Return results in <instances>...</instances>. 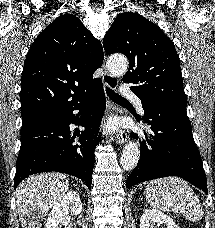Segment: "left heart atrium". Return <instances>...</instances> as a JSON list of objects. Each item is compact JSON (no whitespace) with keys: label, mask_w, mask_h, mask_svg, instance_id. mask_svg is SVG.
Here are the masks:
<instances>
[{"label":"left heart atrium","mask_w":215,"mask_h":228,"mask_svg":"<svg viewBox=\"0 0 215 228\" xmlns=\"http://www.w3.org/2000/svg\"><path fill=\"white\" fill-rule=\"evenodd\" d=\"M113 128H114V124L111 122L106 125V129H113Z\"/></svg>","instance_id":"1"}]
</instances>
